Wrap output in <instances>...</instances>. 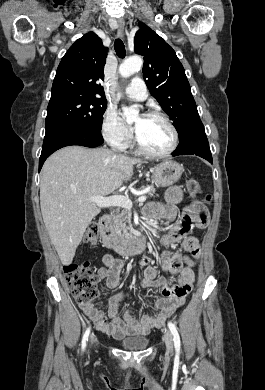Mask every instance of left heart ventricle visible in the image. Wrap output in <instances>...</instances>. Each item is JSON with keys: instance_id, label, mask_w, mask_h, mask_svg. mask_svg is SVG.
Masks as SVG:
<instances>
[{"instance_id": "left-heart-ventricle-1", "label": "left heart ventricle", "mask_w": 265, "mask_h": 390, "mask_svg": "<svg viewBox=\"0 0 265 390\" xmlns=\"http://www.w3.org/2000/svg\"><path fill=\"white\" fill-rule=\"evenodd\" d=\"M134 128L143 145L153 152L165 151L172 142L169 128L158 118L139 116L134 121Z\"/></svg>"}]
</instances>
